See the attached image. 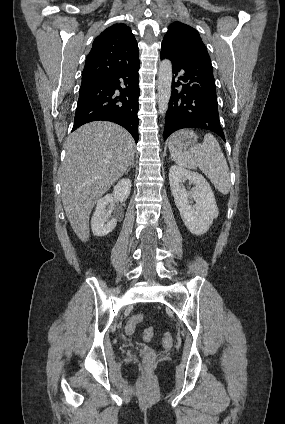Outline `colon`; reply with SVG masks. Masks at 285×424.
<instances>
[{"mask_svg":"<svg viewBox=\"0 0 285 424\" xmlns=\"http://www.w3.org/2000/svg\"><path fill=\"white\" fill-rule=\"evenodd\" d=\"M142 319H143V314H136V315L132 316L129 319V321H128L126 327H125V332L127 334L134 333V331L136 330L137 325L140 324V322L142 321ZM153 335H154V329L153 328H147L144 331L143 338L145 340L149 341V340H151L153 338ZM172 342H173L172 335L169 334V333H166L164 335V337H163V343L165 345H170V344H172ZM154 358H155L154 352L151 349H147L145 351V354H144L145 361L151 363L154 360Z\"/></svg>","mask_w":285,"mask_h":424,"instance_id":"obj_1","label":"colon"}]
</instances>
